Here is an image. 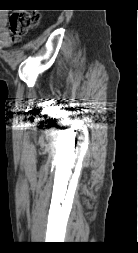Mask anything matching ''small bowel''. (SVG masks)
Returning <instances> with one entry per match:
<instances>
[{
    "label": "small bowel",
    "instance_id": "1",
    "mask_svg": "<svg viewBox=\"0 0 138 253\" xmlns=\"http://www.w3.org/2000/svg\"><path fill=\"white\" fill-rule=\"evenodd\" d=\"M7 22V15L0 13V49L8 47L12 42V38L7 28Z\"/></svg>",
    "mask_w": 138,
    "mask_h": 253
}]
</instances>
